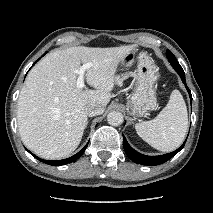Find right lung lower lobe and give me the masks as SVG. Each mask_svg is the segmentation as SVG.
Here are the masks:
<instances>
[{"mask_svg":"<svg viewBox=\"0 0 213 213\" xmlns=\"http://www.w3.org/2000/svg\"><path fill=\"white\" fill-rule=\"evenodd\" d=\"M39 60V59H38ZM37 60V61H38ZM36 61V62H37ZM87 145L88 143L84 146V148H82L77 154L73 155L72 157H69L67 159H63V160H53V161H49V160H44V159H40L38 158L37 156L32 155L37 158L38 160H40L41 162L43 163H46V164H49V165H52V166H61V165H65V164H68V163H71V162H74L76 161L85 151V149L87 148Z\"/></svg>","mask_w":213,"mask_h":213,"instance_id":"right-lung-lower-lobe-1","label":"right lung lower lobe"}]
</instances>
